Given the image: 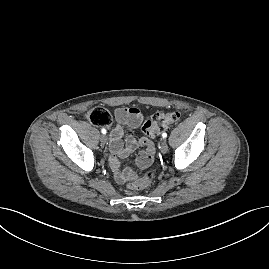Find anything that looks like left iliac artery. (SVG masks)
<instances>
[{"label": "left iliac artery", "instance_id": "left-iliac-artery-1", "mask_svg": "<svg viewBox=\"0 0 269 269\" xmlns=\"http://www.w3.org/2000/svg\"><path fill=\"white\" fill-rule=\"evenodd\" d=\"M162 137H163V138H166V137H167V134H166V133H163V134H162Z\"/></svg>", "mask_w": 269, "mask_h": 269}]
</instances>
